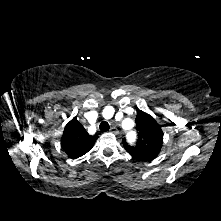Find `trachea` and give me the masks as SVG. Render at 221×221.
Listing matches in <instances>:
<instances>
[{
    "label": "trachea",
    "mask_w": 221,
    "mask_h": 221,
    "mask_svg": "<svg viewBox=\"0 0 221 221\" xmlns=\"http://www.w3.org/2000/svg\"><path fill=\"white\" fill-rule=\"evenodd\" d=\"M99 128L102 132H105V131L109 130L110 126H109L108 122L104 121L100 124Z\"/></svg>",
    "instance_id": "3493384b"
}]
</instances>
